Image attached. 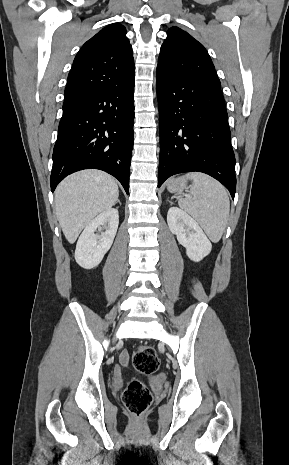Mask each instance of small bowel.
<instances>
[{
	"instance_id": "obj_1",
	"label": "small bowel",
	"mask_w": 289,
	"mask_h": 465,
	"mask_svg": "<svg viewBox=\"0 0 289 465\" xmlns=\"http://www.w3.org/2000/svg\"><path fill=\"white\" fill-rule=\"evenodd\" d=\"M120 362L123 364V365H127L128 362H129V355L127 353V351H122V353L120 354Z\"/></svg>"
}]
</instances>
